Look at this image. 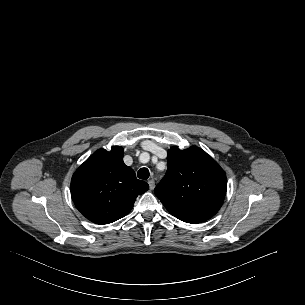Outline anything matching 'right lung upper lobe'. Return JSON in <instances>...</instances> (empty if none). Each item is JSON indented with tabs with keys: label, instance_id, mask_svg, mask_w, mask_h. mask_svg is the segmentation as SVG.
Listing matches in <instances>:
<instances>
[{
	"label": "right lung upper lobe",
	"instance_id": "cb5924a9",
	"mask_svg": "<svg viewBox=\"0 0 305 305\" xmlns=\"http://www.w3.org/2000/svg\"><path fill=\"white\" fill-rule=\"evenodd\" d=\"M123 155L124 150L119 146H113L110 152L99 149L72 176V200L93 223L109 224L124 217L136 197L149 188L124 164Z\"/></svg>",
	"mask_w": 305,
	"mask_h": 305
}]
</instances>
